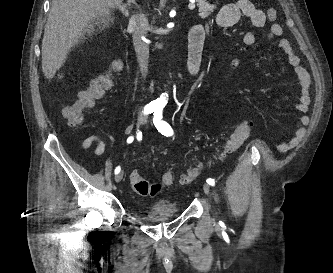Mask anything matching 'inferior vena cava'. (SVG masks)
<instances>
[{
	"label": "inferior vena cava",
	"instance_id": "1",
	"mask_svg": "<svg viewBox=\"0 0 333 273\" xmlns=\"http://www.w3.org/2000/svg\"><path fill=\"white\" fill-rule=\"evenodd\" d=\"M129 26L133 31V44L140 71L142 76L145 78L148 72L149 46L145 42L144 38L149 29L148 19L144 13L133 15L129 20Z\"/></svg>",
	"mask_w": 333,
	"mask_h": 273
}]
</instances>
